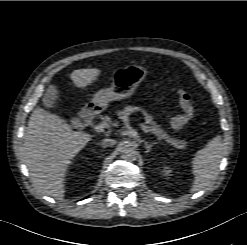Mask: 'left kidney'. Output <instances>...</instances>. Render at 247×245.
I'll list each match as a JSON object with an SVG mask.
<instances>
[{
  "instance_id": "left-kidney-1",
  "label": "left kidney",
  "mask_w": 247,
  "mask_h": 245,
  "mask_svg": "<svg viewBox=\"0 0 247 245\" xmlns=\"http://www.w3.org/2000/svg\"><path fill=\"white\" fill-rule=\"evenodd\" d=\"M162 172H163L164 176L168 177L171 175L172 170L170 169V167L166 166V167H164Z\"/></svg>"
}]
</instances>
